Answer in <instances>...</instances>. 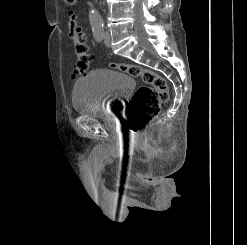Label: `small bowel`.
<instances>
[{"instance_id":"obj_1","label":"small bowel","mask_w":247,"mask_h":245,"mask_svg":"<svg viewBox=\"0 0 247 245\" xmlns=\"http://www.w3.org/2000/svg\"><path fill=\"white\" fill-rule=\"evenodd\" d=\"M71 32H75V33L79 34V36L81 38H85V34L82 32V30L79 28V26L77 24L76 16L72 12H70L69 24H68V33H69L70 38H72Z\"/></svg>"}]
</instances>
